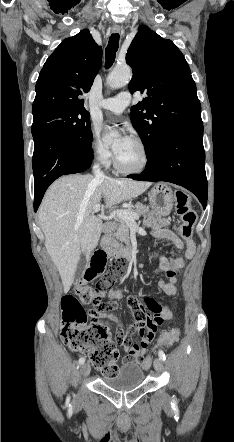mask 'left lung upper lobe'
<instances>
[{
	"instance_id": "5c2ea615",
	"label": "left lung upper lobe",
	"mask_w": 234,
	"mask_h": 442,
	"mask_svg": "<svg viewBox=\"0 0 234 442\" xmlns=\"http://www.w3.org/2000/svg\"><path fill=\"white\" fill-rule=\"evenodd\" d=\"M126 62L133 70L130 92L146 95L131 108L130 118L149 163L170 130L201 119V105L188 63L171 40L140 26L127 51Z\"/></svg>"
}]
</instances>
